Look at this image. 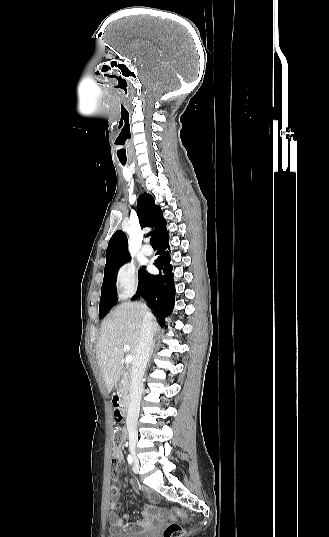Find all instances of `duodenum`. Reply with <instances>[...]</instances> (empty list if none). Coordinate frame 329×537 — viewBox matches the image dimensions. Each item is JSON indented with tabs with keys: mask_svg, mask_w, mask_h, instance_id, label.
<instances>
[{
	"mask_svg": "<svg viewBox=\"0 0 329 537\" xmlns=\"http://www.w3.org/2000/svg\"><path fill=\"white\" fill-rule=\"evenodd\" d=\"M113 404L114 407L121 408V414L123 417H126L129 405L128 401L126 399L114 397Z\"/></svg>",
	"mask_w": 329,
	"mask_h": 537,
	"instance_id": "1",
	"label": "duodenum"
}]
</instances>
